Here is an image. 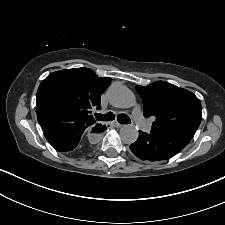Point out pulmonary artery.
Masks as SVG:
<instances>
[{"mask_svg": "<svg viewBox=\"0 0 225 225\" xmlns=\"http://www.w3.org/2000/svg\"><path fill=\"white\" fill-rule=\"evenodd\" d=\"M132 116H133V119L135 120V122L141 127V129H143L145 132L150 131V125L146 121L141 110L138 107L133 109Z\"/></svg>", "mask_w": 225, "mask_h": 225, "instance_id": "pulmonary-artery-1", "label": "pulmonary artery"}]
</instances>
